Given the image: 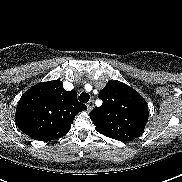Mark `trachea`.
<instances>
[{"label":"trachea","instance_id":"trachea-1","mask_svg":"<svg viewBox=\"0 0 182 182\" xmlns=\"http://www.w3.org/2000/svg\"><path fill=\"white\" fill-rule=\"evenodd\" d=\"M78 99L82 103H87L90 99V95L88 93L83 92L80 94Z\"/></svg>","mask_w":182,"mask_h":182}]
</instances>
